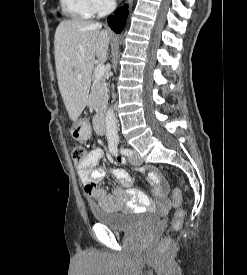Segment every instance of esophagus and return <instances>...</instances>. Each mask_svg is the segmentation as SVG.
I'll return each mask as SVG.
<instances>
[{
  "instance_id": "esophagus-1",
  "label": "esophagus",
  "mask_w": 247,
  "mask_h": 275,
  "mask_svg": "<svg viewBox=\"0 0 247 275\" xmlns=\"http://www.w3.org/2000/svg\"><path fill=\"white\" fill-rule=\"evenodd\" d=\"M133 0H128L129 3H131Z\"/></svg>"
}]
</instances>
